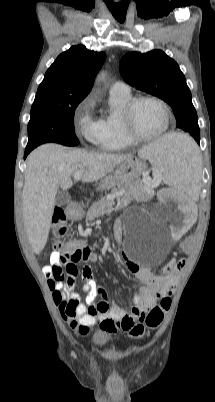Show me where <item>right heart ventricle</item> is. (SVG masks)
<instances>
[{
	"label": "right heart ventricle",
	"mask_w": 215,
	"mask_h": 402,
	"mask_svg": "<svg viewBox=\"0 0 215 402\" xmlns=\"http://www.w3.org/2000/svg\"><path fill=\"white\" fill-rule=\"evenodd\" d=\"M132 98L131 93H111V112L101 119L102 136L99 145L102 149L116 151L133 144L125 135L121 124V113L126 103Z\"/></svg>",
	"instance_id": "right-heart-ventricle-1"
}]
</instances>
